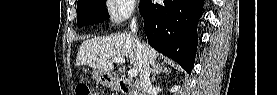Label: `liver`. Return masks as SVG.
<instances>
[{"instance_id":"6515ba94","label":"liver","mask_w":277,"mask_h":95,"mask_svg":"<svg viewBox=\"0 0 277 95\" xmlns=\"http://www.w3.org/2000/svg\"><path fill=\"white\" fill-rule=\"evenodd\" d=\"M143 46L148 62L152 66L159 65L156 62L157 51L146 43H143ZM113 57L129 58L130 64L138 70L136 42L131 34L116 33L85 40L78 50L75 65H88L97 71L110 73L114 69V64L110 61Z\"/></svg>"}]
</instances>
